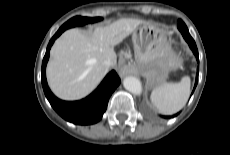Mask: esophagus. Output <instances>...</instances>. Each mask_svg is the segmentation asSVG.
Here are the masks:
<instances>
[{"mask_svg": "<svg viewBox=\"0 0 230 155\" xmlns=\"http://www.w3.org/2000/svg\"><path fill=\"white\" fill-rule=\"evenodd\" d=\"M126 73H127L126 70H122V71L120 72V75H121V76H124Z\"/></svg>", "mask_w": 230, "mask_h": 155, "instance_id": "34e87169", "label": "esophagus"}]
</instances>
